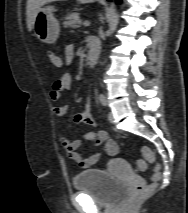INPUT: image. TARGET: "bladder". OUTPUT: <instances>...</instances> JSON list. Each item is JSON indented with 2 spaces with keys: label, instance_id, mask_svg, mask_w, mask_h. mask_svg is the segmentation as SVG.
I'll list each match as a JSON object with an SVG mask.
<instances>
[{
  "label": "bladder",
  "instance_id": "31cf9c89",
  "mask_svg": "<svg viewBox=\"0 0 188 213\" xmlns=\"http://www.w3.org/2000/svg\"><path fill=\"white\" fill-rule=\"evenodd\" d=\"M74 188L91 197L101 206L116 205L127 193L124 181L113 178L104 169H87L78 172L73 178Z\"/></svg>",
  "mask_w": 188,
  "mask_h": 213
}]
</instances>
